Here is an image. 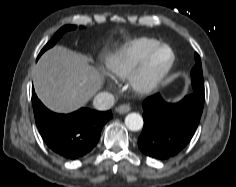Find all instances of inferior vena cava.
I'll list each match as a JSON object with an SVG mask.
<instances>
[{
    "label": "inferior vena cava",
    "instance_id": "602c4592",
    "mask_svg": "<svg viewBox=\"0 0 236 187\" xmlns=\"http://www.w3.org/2000/svg\"><path fill=\"white\" fill-rule=\"evenodd\" d=\"M114 102L115 98L111 93L100 92L95 96L93 105L97 110L105 111L109 110L114 105Z\"/></svg>",
    "mask_w": 236,
    "mask_h": 187
}]
</instances>
